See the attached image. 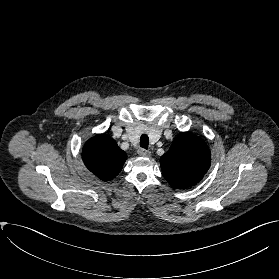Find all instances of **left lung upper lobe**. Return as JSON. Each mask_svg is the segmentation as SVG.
Segmentation results:
<instances>
[{
  "mask_svg": "<svg viewBox=\"0 0 279 279\" xmlns=\"http://www.w3.org/2000/svg\"><path fill=\"white\" fill-rule=\"evenodd\" d=\"M162 173L175 189H185L202 180L211 164L206 143L190 132L179 134L161 156Z\"/></svg>",
  "mask_w": 279,
  "mask_h": 279,
  "instance_id": "5c2ea615",
  "label": "left lung upper lobe"
}]
</instances>
